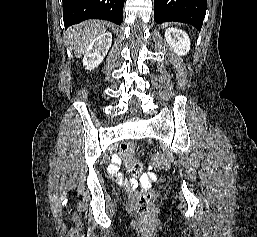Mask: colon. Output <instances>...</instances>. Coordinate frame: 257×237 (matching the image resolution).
Returning <instances> with one entry per match:
<instances>
[{
  "mask_svg": "<svg viewBox=\"0 0 257 237\" xmlns=\"http://www.w3.org/2000/svg\"><path fill=\"white\" fill-rule=\"evenodd\" d=\"M134 146L127 144L123 147V156L129 172L135 176H139L142 171V165L130 158L131 153L134 151ZM152 161L157 168L165 169L168 165L167 157L164 153H155ZM153 192L151 190L142 191L136 202V211L143 220H150L153 217Z\"/></svg>",
  "mask_w": 257,
  "mask_h": 237,
  "instance_id": "1",
  "label": "colon"
}]
</instances>
